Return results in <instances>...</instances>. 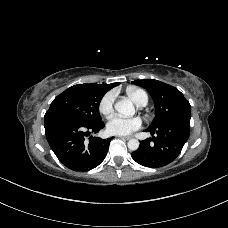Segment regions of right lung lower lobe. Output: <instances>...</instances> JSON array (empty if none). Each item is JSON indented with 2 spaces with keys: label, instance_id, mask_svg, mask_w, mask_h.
Here are the masks:
<instances>
[{
  "label": "right lung lower lobe",
  "instance_id": "right-lung-lower-lobe-1",
  "mask_svg": "<svg viewBox=\"0 0 228 228\" xmlns=\"http://www.w3.org/2000/svg\"><path fill=\"white\" fill-rule=\"evenodd\" d=\"M45 134L47 141L66 167L74 171L85 172L97 167L106 157L110 139L85 137L97 133L104 127L101 121L85 124L63 114L45 115Z\"/></svg>",
  "mask_w": 228,
  "mask_h": 228
}]
</instances>
